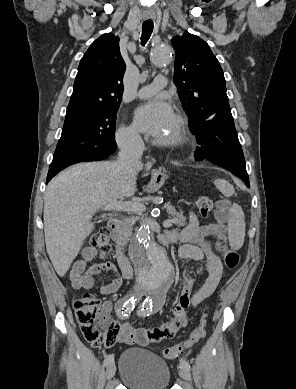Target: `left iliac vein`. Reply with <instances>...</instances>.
Returning a JSON list of instances; mask_svg holds the SVG:
<instances>
[{
	"label": "left iliac vein",
	"mask_w": 296,
	"mask_h": 389,
	"mask_svg": "<svg viewBox=\"0 0 296 389\" xmlns=\"http://www.w3.org/2000/svg\"><path fill=\"white\" fill-rule=\"evenodd\" d=\"M179 375L182 379H184L187 382H191V374L189 369L185 367H180Z\"/></svg>",
	"instance_id": "1"
}]
</instances>
